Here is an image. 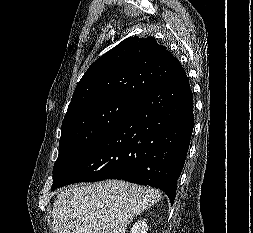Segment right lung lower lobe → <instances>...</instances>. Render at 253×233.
Masks as SVG:
<instances>
[{"instance_id": "right-lung-lower-lobe-1", "label": "right lung lower lobe", "mask_w": 253, "mask_h": 233, "mask_svg": "<svg viewBox=\"0 0 253 233\" xmlns=\"http://www.w3.org/2000/svg\"><path fill=\"white\" fill-rule=\"evenodd\" d=\"M194 125L193 94L182 69L135 100L119 123L52 189L122 179L157 187L173 204Z\"/></svg>"}]
</instances>
